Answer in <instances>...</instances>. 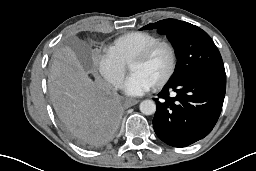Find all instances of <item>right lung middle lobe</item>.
<instances>
[{
    "instance_id": "dd1d6c3e",
    "label": "right lung middle lobe",
    "mask_w": 256,
    "mask_h": 171,
    "mask_svg": "<svg viewBox=\"0 0 256 171\" xmlns=\"http://www.w3.org/2000/svg\"><path fill=\"white\" fill-rule=\"evenodd\" d=\"M70 96H71V88L65 89V88H63V87L61 88L59 86L52 87V98H53L54 104L59 101L65 100V99L69 98Z\"/></svg>"
}]
</instances>
